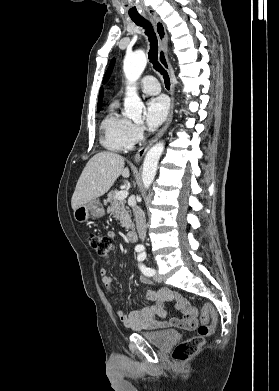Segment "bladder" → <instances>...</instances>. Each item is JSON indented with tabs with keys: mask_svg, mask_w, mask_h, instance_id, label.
I'll return each instance as SVG.
<instances>
[{
	"mask_svg": "<svg viewBox=\"0 0 279 391\" xmlns=\"http://www.w3.org/2000/svg\"><path fill=\"white\" fill-rule=\"evenodd\" d=\"M178 335V332L175 330H160L141 333V336L149 343L161 348L167 347L174 342Z\"/></svg>",
	"mask_w": 279,
	"mask_h": 391,
	"instance_id": "1",
	"label": "bladder"
}]
</instances>
